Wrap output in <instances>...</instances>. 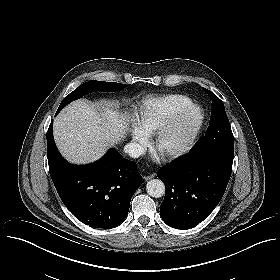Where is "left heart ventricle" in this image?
<instances>
[{"mask_svg":"<svg viewBox=\"0 0 280 280\" xmlns=\"http://www.w3.org/2000/svg\"><path fill=\"white\" fill-rule=\"evenodd\" d=\"M178 126H176L177 129ZM178 137V132L177 131H172V133L170 134V136L168 137V141L166 144H168L169 146L173 144L174 140L177 139Z\"/></svg>","mask_w":280,"mask_h":280,"instance_id":"1","label":"left heart ventricle"}]
</instances>
